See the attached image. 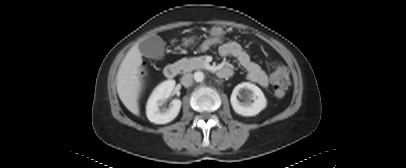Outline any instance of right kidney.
<instances>
[{
	"label": "right kidney",
	"mask_w": 406,
	"mask_h": 168,
	"mask_svg": "<svg viewBox=\"0 0 406 168\" xmlns=\"http://www.w3.org/2000/svg\"><path fill=\"white\" fill-rule=\"evenodd\" d=\"M175 87L174 80H167L158 85L151 94L147 106L146 115L150 122L155 124H166L174 120L181 108V100L173 99L171 107L160 110L163 102L169 98Z\"/></svg>",
	"instance_id": "right-kidney-1"
}]
</instances>
